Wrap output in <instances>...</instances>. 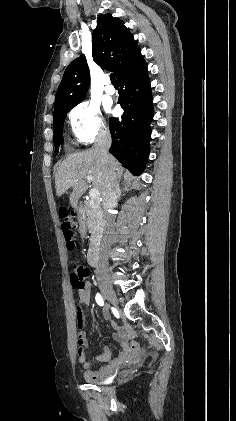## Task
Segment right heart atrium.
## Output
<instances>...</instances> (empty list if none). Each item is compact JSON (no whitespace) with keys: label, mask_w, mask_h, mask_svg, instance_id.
Wrapping results in <instances>:
<instances>
[{"label":"right heart atrium","mask_w":236,"mask_h":421,"mask_svg":"<svg viewBox=\"0 0 236 421\" xmlns=\"http://www.w3.org/2000/svg\"><path fill=\"white\" fill-rule=\"evenodd\" d=\"M72 132L82 144H90L108 134V126L100 106L93 101H83L69 114Z\"/></svg>","instance_id":"right-heart-atrium-1"}]
</instances>
